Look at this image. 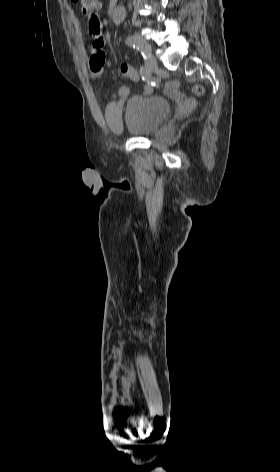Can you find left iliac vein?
Returning a JSON list of instances; mask_svg holds the SVG:
<instances>
[{
    "instance_id": "4c4485c4",
    "label": "left iliac vein",
    "mask_w": 280,
    "mask_h": 472,
    "mask_svg": "<svg viewBox=\"0 0 280 472\" xmlns=\"http://www.w3.org/2000/svg\"><path fill=\"white\" fill-rule=\"evenodd\" d=\"M143 43L148 48V51L145 54V67L148 71H153V70L157 69V67H158L157 60L151 52V47L147 43H145V42H143Z\"/></svg>"
}]
</instances>
